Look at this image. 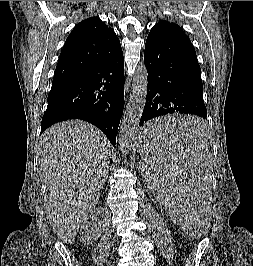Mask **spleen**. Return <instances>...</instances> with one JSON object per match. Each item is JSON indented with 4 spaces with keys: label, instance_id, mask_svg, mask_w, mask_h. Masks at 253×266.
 Masks as SVG:
<instances>
[{
    "label": "spleen",
    "instance_id": "obj_1",
    "mask_svg": "<svg viewBox=\"0 0 253 266\" xmlns=\"http://www.w3.org/2000/svg\"><path fill=\"white\" fill-rule=\"evenodd\" d=\"M195 111H169L143 123L146 138L139 139V168L146 187L154 190V199H161L174 214L176 229L184 235H210L207 216L210 210L212 177V141H205L206 123Z\"/></svg>",
    "mask_w": 253,
    "mask_h": 266
}]
</instances>
